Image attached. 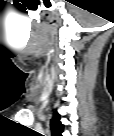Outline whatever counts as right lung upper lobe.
I'll use <instances>...</instances> for the list:
<instances>
[{
	"mask_svg": "<svg viewBox=\"0 0 114 136\" xmlns=\"http://www.w3.org/2000/svg\"><path fill=\"white\" fill-rule=\"evenodd\" d=\"M50 126H51V131L53 136H62L64 126L60 121V116L58 112H54V117L51 120Z\"/></svg>",
	"mask_w": 114,
	"mask_h": 136,
	"instance_id": "cb5924a9",
	"label": "right lung upper lobe"
}]
</instances>
